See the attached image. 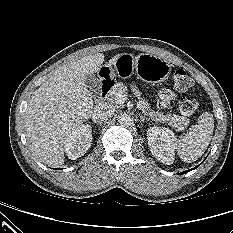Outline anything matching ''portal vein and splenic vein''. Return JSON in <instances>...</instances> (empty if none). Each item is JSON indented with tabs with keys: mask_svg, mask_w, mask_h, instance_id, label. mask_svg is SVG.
<instances>
[{
	"mask_svg": "<svg viewBox=\"0 0 233 233\" xmlns=\"http://www.w3.org/2000/svg\"><path fill=\"white\" fill-rule=\"evenodd\" d=\"M126 98V95L119 94L118 95V102L123 103ZM191 130V128H190Z\"/></svg>",
	"mask_w": 233,
	"mask_h": 233,
	"instance_id": "1",
	"label": "portal vein and splenic vein"
}]
</instances>
